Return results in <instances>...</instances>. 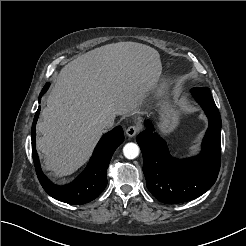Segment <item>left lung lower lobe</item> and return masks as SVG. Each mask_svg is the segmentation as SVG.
<instances>
[{
  "instance_id": "0a47b994",
  "label": "left lung lower lobe",
  "mask_w": 246,
  "mask_h": 246,
  "mask_svg": "<svg viewBox=\"0 0 246 246\" xmlns=\"http://www.w3.org/2000/svg\"><path fill=\"white\" fill-rule=\"evenodd\" d=\"M193 97L205 111L209 127L201 154L193 159L173 158L166 142L152 132L150 125L137 137L143 154V173L152 195L167 204L195 199L215 183L221 161V116L208 87L191 89Z\"/></svg>"
}]
</instances>
